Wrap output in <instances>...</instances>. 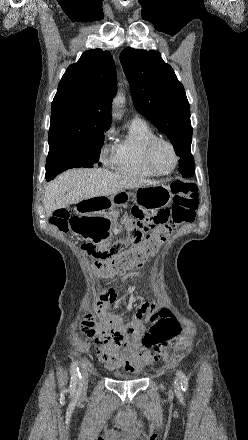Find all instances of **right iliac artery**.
Instances as JSON below:
<instances>
[{
    "label": "right iliac artery",
    "mask_w": 248,
    "mask_h": 440,
    "mask_svg": "<svg viewBox=\"0 0 248 440\" xmlns=\"http://www.w3.org/2000/svg\"><path fill=\"white\" fill-rule=\"evenodd\" d=\"M80 380H81V374L79 371L78 364L77 362H73L71 365V382L69 387V391L71 395H74L76 393L77 383Z\"/></svg>",
    "instance_id": "82829eb1"
}]
</instances>
